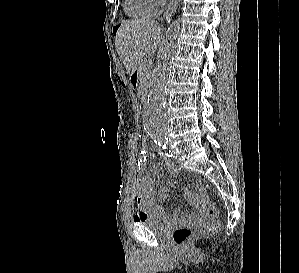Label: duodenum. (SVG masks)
<instances>
[{
    "mask_svg": "<svg viewBox=\"0 0 299 273\" xmlns=\"http://www.w3.org/2000/svg\"><path fill=\"white\" fill-rule=\"evenodd\" d=\"M137 81V72L134 71L132 74H131V82L132 84L135 86V83Z\"/></svg>",
    "mask_w": 299,
    "mask_h": 273,
    "instance_id": "410a0bca",
    "label": "duodenum"
}]
</instances>
